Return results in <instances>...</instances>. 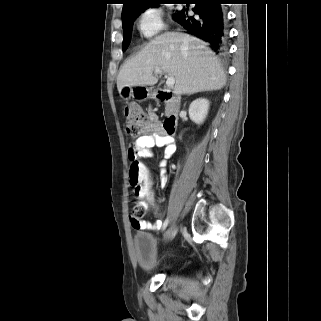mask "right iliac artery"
I'll return each instance as SVG.
<instances>
[{
	"label": "right iliac artery",
	"instance_id": "right-iliac-artery-1",
	"mask_svg": "<svg viewBox=\"0 0 321 321\" xmlns=\"http://www.w3.org/2000/svg\"><path fill=\"white\" fill-rule=\"evenodd\" d=\"M169 219L167 218L163 223V230L168 226Z\"/></svg>",
	"mask_w": 321,
	"mask_h": 321
}]
</instances>
